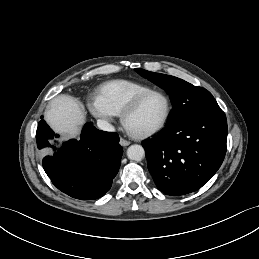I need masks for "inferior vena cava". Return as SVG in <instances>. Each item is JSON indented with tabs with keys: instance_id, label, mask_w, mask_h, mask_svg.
I'll list each match as a JSON object with an SVG mask.
<instances>
[{
	"instance_id": "obj_1",
	"label": "inferior vena cava",
	"mask_w": 259,
	"mask_h": 259,
	"mask_svg": "<svg viewBox=\"0 0 259 259\" xmlns=\"http://www.w3.org/2000/svg\"><path fill=\"white\" fill-rule=\"evenodd\" d=\"M97 126L99 129L103 131L112 132L115 130L114 127L109 122L102 119L97 120Z\"/></svg>"
}]
</instances>
